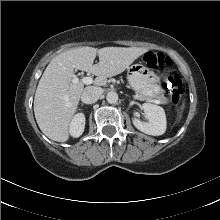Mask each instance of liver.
Segmentation results:
<instances>
[{"label":"liver","instance_id":"6515ba94","mask_svg":"<svg viewBox=\"0 0 220 220\" xmlns=\"http://www.w3.org/2000/svg\"><path fill=\"white\" fill-rule=\"evenodd\" d=\"M147 48L78 47L55 56L46 67L36 89L34 114L40 130L51 140L66 142L70 122L77 110L84 84L75 78L74 70L94 74V85L105 86L107 78L127 69ZM98 55L99 62L93 65Z\"/></svg>","mask_w":220,"mask_h":220}]
</instances>
